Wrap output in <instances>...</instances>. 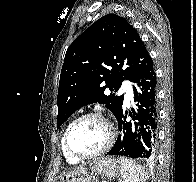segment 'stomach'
I'll list each match as a JSON object with an SVG mask.
<instances>
[{
  "label": "stomach",
  "mask_w": 196,
  "mask_h": 182,
  "mask_svg": "<svg viewBox=\"0 0 196 182\" xmlns=\"http://www.w3.org/2000/svg\"><path fill=\"white\" fill-rule=\"evenodd\" d=\"M94 173L107 178L117 177L120 171L118 161L112 157H102L91 164ZM58 182H91V176L84 168L63 174Z\"/></svg>",
  "instance_id": "stomach-1"
}]
</instances>
